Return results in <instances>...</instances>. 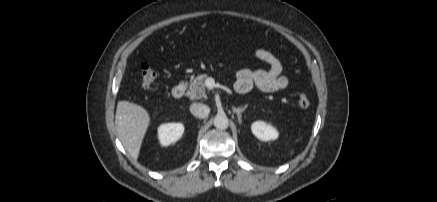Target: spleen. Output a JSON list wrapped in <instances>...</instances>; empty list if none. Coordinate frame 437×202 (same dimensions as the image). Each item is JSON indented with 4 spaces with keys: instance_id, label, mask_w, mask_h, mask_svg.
<instances>
[{
    "instance_id": "spleen-1",
    "label": "spleen",
    "mask_w": 437,
    "mask_h": 202,
    "mask_svg": "<svg viewBox=\"0 0 437 202\" xmlns=\"http://www.w3.org/2000/svg\"><path fill=\"white\" fill-rule=\"evenodd\" d=\"M293 153H294V151H293V150H290L289 155H292Z\"/></svg>"
}]
</instances>
